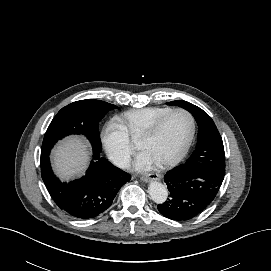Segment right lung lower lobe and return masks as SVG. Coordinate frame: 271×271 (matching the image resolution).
I'll return each instance as SVG.
<instances>
[{
  "instance_id": "obj_1",
  "label": "right lung lower lobe",
  "mask_w": 271,
  "mask_h": 271,
  "mask_svg": "<svg viewBox=\"0 0 271 271\" xmlns=\"http://www.w3.org/2000/svg\"><path fill=\"white\" fill-rule=\"evenodd\" d=\"M40 164L42 179L52 199L62 210L80 219L93 218L107 210L121 186L131 178L94 149L86 175L68 184L54 176L49 154L41 155Z\"/></svg>"
}]
</instances>
